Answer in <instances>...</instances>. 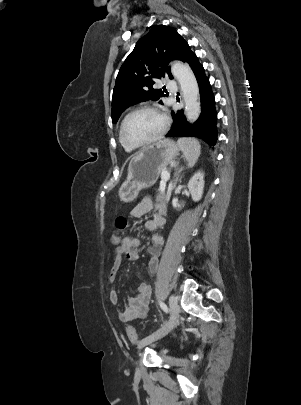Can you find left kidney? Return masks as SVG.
<instances>
[{
    "label": "left kidney",
    "mask_w": 301,
    "mask_h": 405,
    "mask_svg": "<svg viewBox=\"0 0 301 405\" xmlns=\"http://www.w3.org/2000/svg\"><path fill=\"white\" fill-rule=\"evenodd\" d=\"M188 189L193 201L198 202L199 200H201L204 189L203 172H197L196 174H194V176L190 179L188 183Z\"/></svg>",
    "instance_id": "obj_1"
}]
</instances>
